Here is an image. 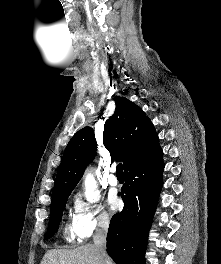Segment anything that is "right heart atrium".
Instances as JSON below:
<instances>
[{
    "label": "right heart atrium",
    "mask_w": 221,
    "mask_h": 264,
    "mask_svg": "<svg viewBox=\"0 0 221 264\" xmlns=\"http://www.w3.org/2000/svg\"><path fill=\"white\" fill-rule=\"evenodd\" d=\"M109 226L110 217L101 204L86 200L81 193L74 196L72 228L77 238L86 239Z\"/></svg>",
    "instance_id": "obj_1"
}]
</instances>
